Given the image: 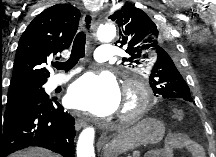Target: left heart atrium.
I'll list each match as a JSON object with an SVG mask.
<instances>
[{"label": "left heart atrium", "instance_id": "left-heart-atrium-1", "mask_svg": "<svg viewBox=\"0 0 216 157\" xmlns=\"http://www.w3.org/2000/svg\"><path fill=\"white\" fill-rule=\"evenodd\" d=\"M66 104L80 111L107 116L121 105L120 88L110 74L88 73L70 86Z\"/></svg>", "mask_w": 216, "mask_h": 157}]
</instances>
